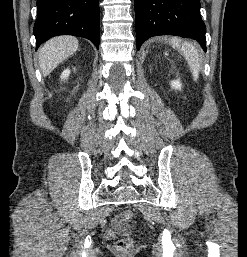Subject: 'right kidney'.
Masks as SVG:
<instances>
[{
	"instance_id": "obj_1",
	"label": "right kidney",
	"mask_w": 247,
	"mask_h": 257,
	"mask_svg": "<svg viewBox=\"0 0 247 257\" xmlns=\"http://www.w3.org/2000/svg\"><path fill=\"white\" fill-rule=\"evenodd\" d=\"M69 75H70V70H69V69H66V70H64V71L62 72V74H61V79H62V80H65V79H67V78L69 77Z\"/></svg>"
}]
</instances>
